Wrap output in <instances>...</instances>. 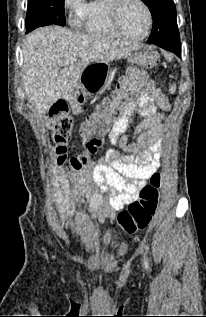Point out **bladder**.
I'll use <instances>...</instances> for the list:
<instances>
[{"label":"bladder","mask_w":206,"mask_h":317,"mask_svg":"<svg viewBox=\"0 0 206 317\" xmlns=\"http://www.w3.org/2000/svg\"><path fill=\"white\" fill-rule=\"evenodd\" d=\"M101 235H104V237L106 238L105 244H106L108 253L112 254L113 256L120 257V256H123L127 252L128 246L125 242L114 239L112 237H107L103 233Z\"/></svg>","instance_id":"obj_1"}]
</instances>
